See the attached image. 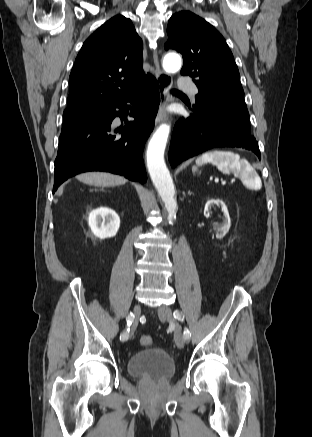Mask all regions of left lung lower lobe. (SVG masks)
<instances>
[{"instance_id":"1","label":"left lung lower lobe","mask_w":312,"mask_h":437,"mask_svg":"<svg viewBox=\"0 0 312 437\" xmlns=\"http://www.w3.org/2000/svg\"><path fill=\"white\" fill-rule=\"evenodd\" d=\"M213 147H237L251 150L260 158L258 142L227 115L210 108L193 109L186 120L174 127L169 161L175 168L180 162Z\"/></svg>"}]
</instances>
